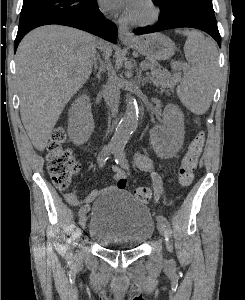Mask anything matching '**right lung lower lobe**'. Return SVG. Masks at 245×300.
Segmentation results:
<instances>
[{
    "label": "right lung lower lobe",
    "mask_w": 245,
    "mask_h": 300,
    "mask_svg": "<svg viewBox=\"0 0 245 300\" xmlns=\"http://www.w3.org/2000/svg\"><path fill=\"white\" fill-rule=\"evenodd\" d=\"M49 24H59L78 28L112 43L117 42V27L116 25L106 19L100 12L98 5L84 14H65L56 16L38 23H34L18 29V33L14 42V51H16L21 39L32 29Z\"/></svg>",
    "instance_id": "98d812e1"
}]
</instances>
